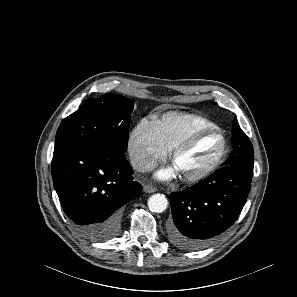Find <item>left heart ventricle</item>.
<instances>
[{
	"instance_id": "obj_1",
	"label": "left heart ventricle",
	"mask_w": 297,
	"mask_h": 297,
	"mask_svg": "<svg viewBox=\"0 0 297 297\" xmlns=\"http://www.w3.org/2000/svg\"><path fill=\"white\" fill-rule=\"evenodd\" d=\"M221 147V139L216 134L204 135L175 158L173 167L180 176L197 174L215 161Z\"/></svg>"
}]
</instances>
